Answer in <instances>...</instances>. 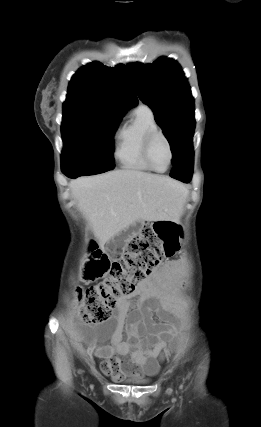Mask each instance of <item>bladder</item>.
Masks as SVG:
<instances>
[{
    "label": "bladder",
    "instance_id": "bladder-1",
    "mask_svg": "<svg viewBox=\"0 0 261 427\" xmlns=\"http://www.w3.org/2000/svg\"><path fill=\"white\" fill-rule=\"evenodd\" d=\"M150 381H151L150 378L138 377V378L130 380L129 383L137 384V385H145V384H148Z\"/></svg>",
    "mask_w": 261,
    "mask_h": 427
}]
</instances>
